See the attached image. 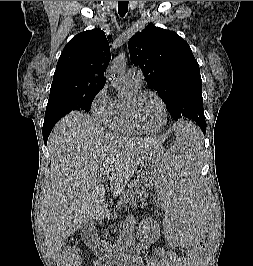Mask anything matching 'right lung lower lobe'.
<instances>
[{
	"mask_svg": "<svg viewBox=\"0 0 253 266\" xmlns=\"http://www.w3.org/2000/svg\"><path fill=\"white\" fill-rule=\"evenodd\" d=\"M55 123L43 124L42 133H43V139H44L45 144H47L48 136H49L52 128L54 127Z\"/></svg>",
	"mask_w": 253,
	"mask_h": 266,
	"instance_id": "right-lung-lower-lobe-1",
	"label": "right lung lower lobe"
}]
</instances>
